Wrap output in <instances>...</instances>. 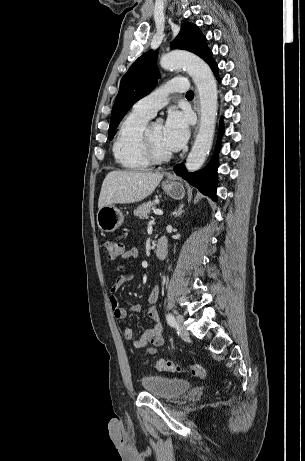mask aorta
<instances>
[{"label": "aorta", "mask_w": 305, "mask_h": 461, "mask_svg": "<svg viewBox=\"0 0 305 461\" xmlns=\"http://www.w3.org/2000/svg\"><path fill=\"white\" fill-rule=\"evenodd\" d=\"M160 64L164 69L185 68L198 89L200 127L186 160L187 170L194 172L205 162L213 143L218 107L216 80L210 67L202 59L190 53L170 52L162 56Z\"/></svg>", "instance_id": "obj_1"}]
</instances>
